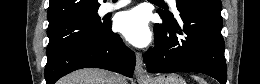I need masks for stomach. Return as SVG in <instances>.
<instances>
[{"label":"stomach","mask_w":260,"mask_h":84,"mask_svg":"<svg viewBox=\"0 0 260 84\" xmlns=\"http://www.w3.org/2000/svg\"><path fill=\"white\" fill-rule=\"evenodd\" d=\"M147 84H186L185 80L178 74H162L151 79Z\"/></svg>","instance_id":"obj_1"}]
</instances>
